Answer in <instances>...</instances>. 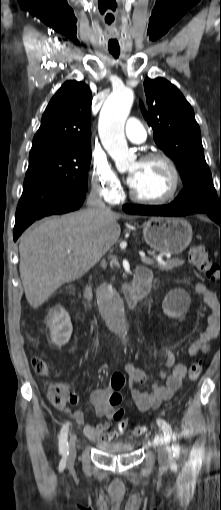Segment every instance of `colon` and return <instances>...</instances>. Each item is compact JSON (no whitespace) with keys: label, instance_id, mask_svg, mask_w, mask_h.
<instances>
[{"label":"colon","instance_id":"1","mask_svg":"<svg viewBox=\"0 0 221 510\" xmlns=\"http://www.w3.org/2000/svg\"><path fill=\"white\" fill-rule=\"evenodd\" d=\"M189 261L211 282L219 285L221 294V262H214L202 246L192 247L188 252ZM220 314H221V298H220ZM32 367L36 373L42 376H47L49 367L47 362L40 356H35L31 361ZM201 362L196 361L189 369V379L195 381L201 374ZM125 376L121 372H114L111 375L110 386L114 393L110 397V402L114 406H119L122 401V396L119 393L125 386ZM48 399L52 406L57 409H64L67 403L76 404L79 401L76 393L65 384L52 385L48 392ZM114 419L118 421L119 428L124 430L127 428L129 422L124 416V410L120 407L117 408ZM135 437H142L146 433L143 426H136L133 431ZM109 435L103 437V442L108 441Z\"/></svg>","mask_w":221,"mask_h":510}]
</instances>
